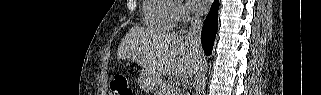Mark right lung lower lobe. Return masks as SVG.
Listing matches in <instances>:
<instances>
[{
    "label": "right lung lower lobe",
    "instance_id": "obj_1",
    "mask_svg": "<svg viewBox=\"0 0 321 95\" xmlns=\"http://www.w3.org/2000/svg\"><path fill=\"white\" fill-rule=\"evenodd\" d=\"M219 0H215L202 28V46L206 55H210L218 28L217 12Z\"/></svg>",
    "mask_w": 321,
    "mask_h": 95
}]
</instances>
